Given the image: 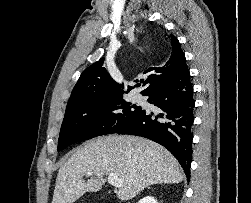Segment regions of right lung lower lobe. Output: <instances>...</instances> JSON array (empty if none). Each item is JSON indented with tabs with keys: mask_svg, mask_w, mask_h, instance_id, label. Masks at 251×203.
Here are the masks:
<instances>
[{
	"mask_svg": "<svg viewBox=\"0 0 251 203\" xmlns=\"http://www.w3.org/2000/svg\"><path fill=\"white\" fill-rule=\"evenodd\" d=\"M144 96H149L148 102L158 111L141 108L115 133L142 136L161 144L176 157L189 180L195 101L187 66Z\"/></svg>",
	"mask_w": 251,
	"mask_h": 203,
	"instance_id": "98d812e1",
	"label": "right lung lower lobe"
}]
</instances>
